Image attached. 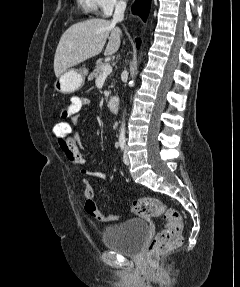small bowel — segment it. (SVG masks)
Masks as SVG:
<instances>
[{
	"label": "small bowel",
	"mask_w": 240,
	"mask_h": 287,
	"mask_svg": "<svg viewBox=\"0 0 240 287\" xmlns=\"http://www.w3.org/2000/svg\"><path fill=\"white\" fill-rule=\"evenodd\" d=\"M90 104L86 97L73 95L69 102L60 110V117L70 122L72 125V134L67 143L58 141L59 147L70 163L81 168V174L85 177H94L105 179L106 173L103 171H94L86 169L87 159L83 154V146L76 126L79 120V112L84 106Z\"/></svg>",
	"instance_id": "obj_1"
}]
</instances>
